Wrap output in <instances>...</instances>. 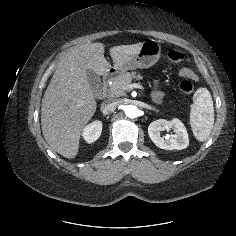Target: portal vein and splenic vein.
<instances>
[{"instance_id":"18ae733b","label":"portal vein and splenic vein","mask_w":236,"mask_h":236,"mask_svg":"<svg viewBox=\"0 0 236 236\" xmlns=\"http://www.w3.org/2000/svg\"><path fill=\"white\" fill-rule=\"evenodd\" d=\"M134 88H138L140 89L141 88V85L137 84V83H133V84H129L125 87V89H134Z\"/></svg>"}]
</instances>
